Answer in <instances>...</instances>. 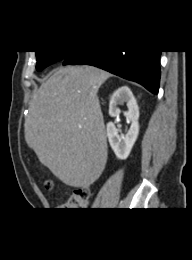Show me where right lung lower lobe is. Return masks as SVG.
Masks as SVG:
<instances>
[{
  "label": "right lung lower lobe",
  "mask_w": 192,
  "mask_h": 260,
  "mask_svg": "<svg viewBox=\"0 0 192 260\" xmlns=\"http://www.w3.org/2000/svg\"><path fill=\"white\" fill-rule=\"evenodd\" d=\"M160 54L161 51H74L63 60V65H93L140 83L151 93L157 94L160 81Z\"/></svg>",
  "instance_id": "obj_1"
}]
</instances>
